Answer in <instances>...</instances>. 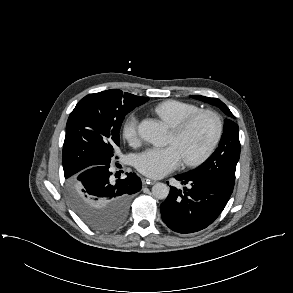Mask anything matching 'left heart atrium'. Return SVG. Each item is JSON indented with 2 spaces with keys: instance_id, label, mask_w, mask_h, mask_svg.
<instances>
[{
  "instance_id": "1",
  "label": "left heart atrium",
  "mask_w": 293,
  "mask_h": 293,
  "mask_svg": "<svg viewBox=\"0 0 293 293\" xmlns=\"http://www.w3.org/2000/svg\"><path fill=\"white\" fill-rule=\"evenodd\" d=\"M182 158L179 149L174 144L151 147L136 156L135 166L147 176L160 178L175 170L181 164Z\"/></svg>"
}]
</instances>
